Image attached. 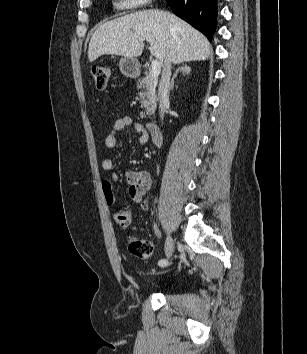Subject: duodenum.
Returning a JSON list of instances; mask_svg holds the SVG:
<instances>
[{
    "mask_svg": "<svg viewBox=\"0 0 307 354\" xmlns=\"http://www.w3.org/2000/svg\"><path fill=\"white\" fill-rule=\"evenodd\" d=\"M146 129L151 135V138L155 144H160L162 142V135L158 126L154 122H148L145 125Z\"/></svg>",
    "mask_w": 307,
    "mask_h": 354,
    "instance_id": "410a0bca",
    "label": "duodenum"
}]
</instances>
